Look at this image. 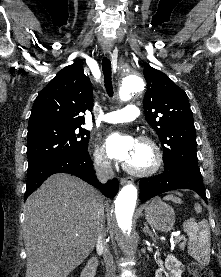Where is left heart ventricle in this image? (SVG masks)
Here are the masks:
<instances>
[{
    "label": "left heart ventricle",
    "instance_id": "1",
    "mask_svg": "<svg viewBox=\"0 0 221 277\" xmlns=\"http://www.w3.org/2000/svg\"><path fill=\"white\" fill-rule=\"evenodd\" d=\"M153 154L150 148L140 142H137L135 150L129 160L125 162L133 168L143 169L151 165Z\"/></svg>",
    "mask_w": 221,
    "mask_h": 277
}]
</instances>
